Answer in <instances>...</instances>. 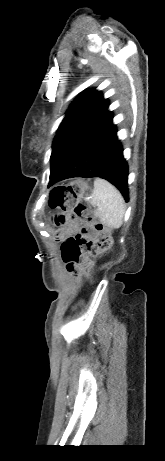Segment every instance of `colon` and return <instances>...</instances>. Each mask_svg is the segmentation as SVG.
I'll list each match as a JSON object with an SVG mask.
<instances>
[{
  "instance_id": "colon-1",
  "label": "colon",
  "mask_w": 165,
  "mask_h": 461,
  "mask_svg": "<svg viewBox=\"0 0 165 461\" xmlns=\"http://www.w3.org/2000/svg\"><path fill=\"white\" fill-rule=\"evenodd\" d=\"M87 187L85 181H73L52 189L49 198V206L52 209H59L61 212L55 216L57 226H65L74 219L91 224L96 237L87 243L86 250L95 249L107 250L111 246V231L100 221H94L87 207L78 203V197Z\"/></svg>"
}]
</instances>
